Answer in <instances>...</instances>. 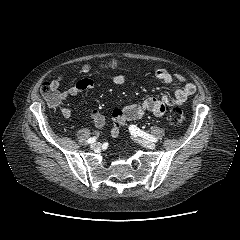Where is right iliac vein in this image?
<instances>
[{
    "label": "right iliac vein",
    "instance_id": "63e3f726",
    "mask_svg": "<svg viewBox=\"0 0 240 240\" xmlns=\"http://www.w3.org/2000/svg\"><path fill=\"white\" fill-rule=\"evenodd\" d=\"M90 148L93 150L99 149L100 148V144L99 143H93L90 145Z\"/></svg>",
    "mask_w": 240,
    "mask_h": 240
}]
</instances>
